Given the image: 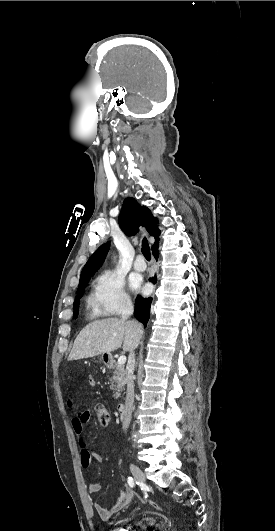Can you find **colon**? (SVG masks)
Segmentation results:
<instances>
[{"instance_id":"5ec220e1","label":"colon","mask_w":275,"mask_h":531,"mask_svg":"<svg viewBox=\"0 0 275 531\" xmlns=\"http://www.w3.org/2000/svg\"><path fill=\"white\" fill-rule=\"evenodd\" d=\"M97 419L101 425L107 426L110 422L108 410L103 405H97L96 407ZM154 505L156 503L153 502Z\"/></svg>"}]
</instances>
